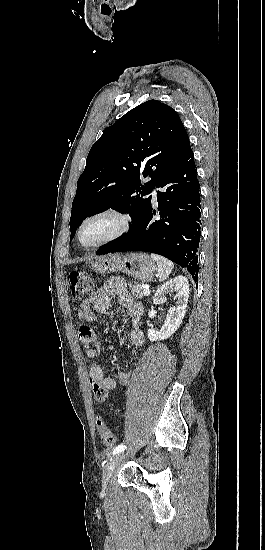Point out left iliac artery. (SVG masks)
<instances>
[{
  "label": "left iliac artery",
  "instance_id": "left-iliac-artery-1",
  "mask_svg": "<svg viewBox=\"0 0 265 550\" xmlns=\"http://www.w3.org/2000/svg\"><path fill=\"white\" fill-rule=\"evenodd\" d=\"M126 449V446L125 445H118L117 447H115V449L113 450V455L117 454V453H120L122 451H124Z\"/></svg>",
  "mask_w": 265,
  "mask_h": 550
}]
</instances>
